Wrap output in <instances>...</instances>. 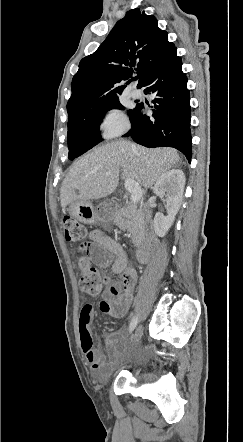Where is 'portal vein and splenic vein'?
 Returning <instances> with one entry per match:
<instances>
[{"instance_id":"1","label":"portal vein and splenic vein","mask_w":243,"mask_h":442,"mask_svg":"<svg viewBox=\"0 0 243 442\" xmlns=\"http://www.w3.org/2000/svg\"><path fill=\"white\" fill-rule=\"evenodd\" d=\"M125 187L131 194V200L133 204H136L141 197V187L139 184L133 179L125 180Z\"/></svg>"}]
</instances>
